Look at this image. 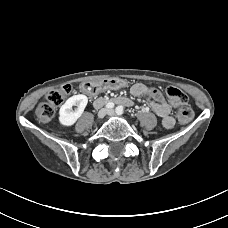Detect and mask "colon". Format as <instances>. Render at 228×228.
I'll return each mask as SVG.
<instances>
[{
    "instance_id": "5ec220e1",
    "label": "colon",
    "mask_w": 228,
    "mask_h": 228,
    "mask_svg": "<svg viewBox=\"0 0 228 228\" xmlns=\"http://www.w3.org/2000/svg\"><path fill=\"white\" fill-rule=\"evenodd\" d=\"M71 94L72 86L70 84H64L51 90L46 101L36 107L35 114L38 121L41 123L51 121L56 108L62 105ZM167 96L172 104L178 106L177 120L182 124L189 122L193 118L194 112L187 104L188 96L177 87H169Z\"/></svg>"
}]
</instances>
